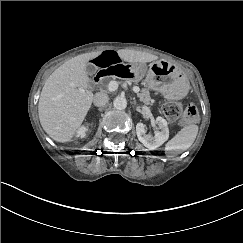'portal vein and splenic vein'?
Listing matches in <instances>:
<instances>
[{"mask_svg":"<svg viewBox=\"0 0 243 243\" xmlns=\"http://www.w3.org/2000/svg\"><path fill=\"white\" fill-rule=\"evenodd\" d=\"M117 88H118V84H117L116 81H110V82L107 84V90H108L109 92H113V91L117 90ZM133 91H134L135 93H139L140 88L137 87V86H135V87L133 88Z\"/></svg>","mask_w":243,"mask_h":243,"instance_id":"18ae733b","label":"portal vein and splenic vein"}]
</instances>
